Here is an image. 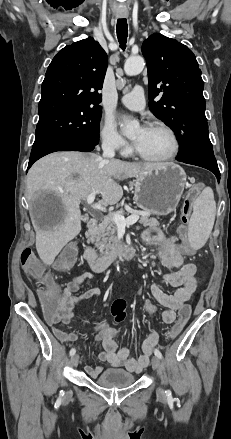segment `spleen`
Returning a JSON list of instances; mask_svg holds the SVG:
<instances>
[{"instance_id":"spleen-1","label":"spleen","mask_w":231,"mask_h":439,"mask_svg":"<svg viewBox=\"0 0 231 439\" xmlns=\"http://www.w3.org/2000/svg\"><path fill=\"white\" fill-rule=\"evenodd\" d=\"M216 203L213 190L206 187L195 200L188 228V239L194 249H199L208 240L215 220Z\"/></svg>"}]
</instances>
